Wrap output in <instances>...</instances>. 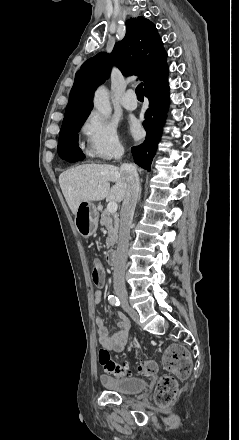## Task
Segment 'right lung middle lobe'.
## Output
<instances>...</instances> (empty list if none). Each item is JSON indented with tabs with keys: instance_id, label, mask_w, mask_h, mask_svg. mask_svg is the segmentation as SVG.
I'll use <instances>...</instances> for the list:
<instances>
[{
	"instance_id": "right-lung-middle-lobe-1",
	"label": "right lung middle lobe",
	"mask_w": 239,
	"mask_h": 440,
	"mask_svg": "<svg viewBox=\"0 0 239 440\" xmlns=\"http://www.w3.org/2000/svg\"><path fill=\"white\" fill-rule=\"evenodd\" d=\"M89 114L76 117L68 122L62 124L59 141H58V154L69 149L78 146V131L82 127Z\"/></svg>"
}]
</instances>
